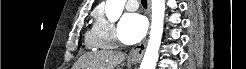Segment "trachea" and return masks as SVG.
Listing matches in <instances>:
<instances>
[{"instance_id": "trachea-1", "label": "trachea", "mask_w": 246, "mask_h": 69, "mask_svg": "<svg viewBox=\"0 0 246 69\" xmlns=\"http://www.w3.org/2000/svg\"><path fill=\"white\" fill-rule=\"evenodd\" d=\"M141 4H142L144 7H147V0H141Z\"/></svg>"}]
</instances>
